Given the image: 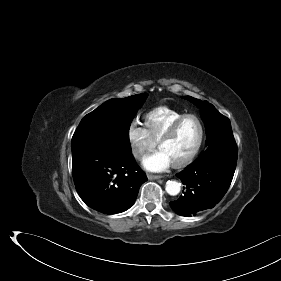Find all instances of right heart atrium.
I'll use <instances>...</instances> for the list:
<instances>
[{"instance_id":"1","label":"right heart atrium","mask_w":281,"mask_h":281,"mask_svg":"<svg viewBox=\"0 0 281 281\" xmlns=\"http://www.w3.org/2000/svg\"><path fill=\"white\" fill-rule=\"evenodd\" d=\"M128 141L131 152L137 159H142L146 153L153 150L157 142L148 133L145 126L133 121L128 128Z\"/></svg>"}]
</instances>
